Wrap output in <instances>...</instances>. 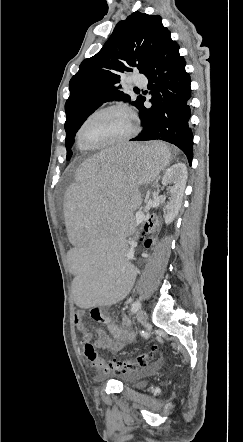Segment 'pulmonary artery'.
<instances>
[{"label":"pulmonary artery","mask_w":243,"mask_h":442,"mask_svg":"<svg viewBox=\"0 0 243 442\" xmlns=\"http://www.w3.org/2000/svg\"><path fill=\"white\" fill-rule=\"evenodd\" d=\"M133 82L135 85H138V86H145L147 84V81L145 79H141V78H134Z\"/></svg>","instance_id":"e3ab8cb5"}]
</instances>
